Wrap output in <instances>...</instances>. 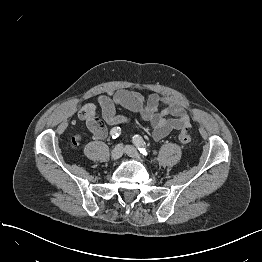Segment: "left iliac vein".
<instances>
[{
  "label": "left iliac vein",
  "instance_id": "obj_1",
  "mask_svg": "<svg viewBox=\"0 0 262 262\" xmlns=\"http://www.w3.org/2000/svg\"><path fill=\"white\" fill-rule=\"evenodd\" d=\"M125 152L128 156L135 158L140 162H144V159L139 155L138 151L133 146H125Z\"/></svg>",
  "mask_w": 262,
  "mask_h": 262
}]
</instances>
